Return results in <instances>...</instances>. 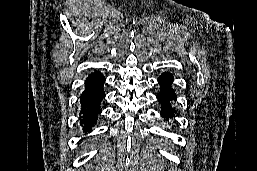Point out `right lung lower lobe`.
Masks as SVG:
<instances>
[{
	"label": "right lung lower lobe",
	"instance_id": "right-lung-lower-lobe-1",
	"mask_svg": "<svg viewBox=\"0 0 257 171\" xmlns=\"http://www.w3.org/2000/svg\"><path fill=\"white\" fill-rule=\"evenodd\" d=\"M105 77L100 72L95 71L87 77L85 82V91L80 96V103L83 114L80 123L84 124L83 131L91 130L92 126L97 121V114L101 112L100 102L105 97L103 84Z\"/></svg>",
	"mask_w": 257,
	"mask_h": 171
}]
</instances>
